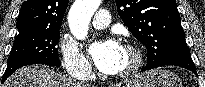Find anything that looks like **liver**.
Here are the masks:
<instances>
[{
    "label": "liver",
    "instance_id": "liver-1",
    "mask_svg": "<svg viewBox=\"0 0 205 87\" xmlns=\"http://www.w3.org/2000/svg\"><path fill=\"white\" fill-rule=\"evenodd\" d=\"M3 87H85L67 76L52 71L48 66H26L15 71Z\"/></svg>",
    "mask_w": 205,
    "mask_h": 87
}]
</instances>
